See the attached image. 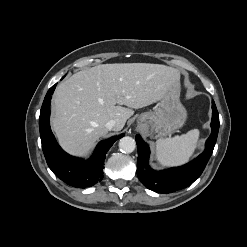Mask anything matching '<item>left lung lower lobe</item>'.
I'll use <instances>...</instances> for the list:
<instances>
[{
  "mask_svg": "<svg viewBox=\"0 0 247 247\" xmlns=\"http://www.w3.org/2000/svg\"><path fill=\"white\" fill-rule=\"evenodd\" d=\"M212 132L206 141V148L192 162L177 168L155 171L148 165L149 147L139 135H136L138 148L137 175L139 180L148 189L157 193H171L192 184L203 172L216 143L219 129V114L214 101H212Z\"/></svg>",
  "mask_w": 247,
  "mask_h": 247,
  "instance_id": "1",
  "label": "left lung lower lobe"
}]
</instances>
